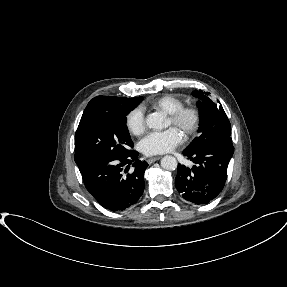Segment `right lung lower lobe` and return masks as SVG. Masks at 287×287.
<instances>
[{"mask_svg": "<svg viewBox=\"0 0 287 287\" xmlns=\"http://www.w3.org/2000/svg\"><path fill=\"white\" fill-rule=\"evenodd\" d=\"M134 170L127 175L129 165ZM147 162L138 160V152L127 156L103 158L92 162L81 172L85 187L107 210L118 212L134 205L144 191Z\"/></svg>", "mask_w": 287, "mask_h": 287, "instance_id": "right-lung-lower-lobe-1", "label": "right lung lower lobe"}]
</instances>
